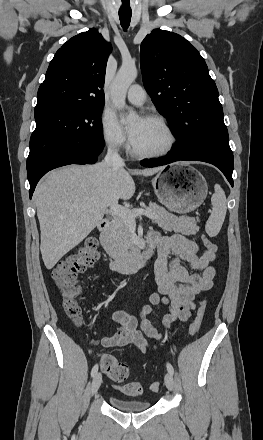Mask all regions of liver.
Here are the masks:
<instances>
[{"instance_id": "1", "label": "liver", "mask_w": 263, "mask_h": 440, "mask_svg": "<svg viewBox=\"0 0 263 440\" xmlns=\"http://www.w3.org/2000/svg\"><path fill=\"white\" fill-rule=\"evenodd\" d=\"M164 167L144 170L111 168L104 161L72 165L50 172L35 189L40 223V250L52 269L102 221L107 208L135 193L131 174L152 176Z\"/></svg>"}]
</instances>
